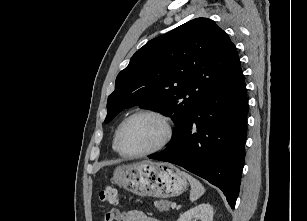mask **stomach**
Returning a JSON list of instances; mask_svg holds the SVG:
<instances>
[{"label":"stomach","instance_id":"stomach-1","mask_svg":"<svg viewBox=\"0 0 307 221\" xmlns=\"http://www.w3.org/2000/svg\"><path fill=\"white\" fill-rule=\"evenodd\" d=\"M113 180L118 186L142 197L179 196L188 185L187 178L176 166L148 160L118 166Z\"/></svg>","mask_w":307,"mask_h":221}]
</instances>
